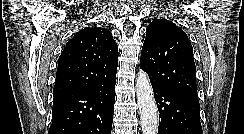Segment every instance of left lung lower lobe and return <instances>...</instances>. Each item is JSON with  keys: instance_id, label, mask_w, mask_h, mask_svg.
I'll use <instances>...</instances> for the list:
<instances>
[{"instance_id": "0a47b994", "label": "left lung lower lobe", "mask_w": 244, "mask_h": 134, "mask_svg": "<svg viewBox=\"0 0 244 134\" xmlns=\"http://www.w3.org/2000/svg\"><path fill=\"white\" fill-rule=\"evenodd\" d=\"M159 117L158 134H203L197 94L153 88Z\"/></svg>"}]
</instances>
